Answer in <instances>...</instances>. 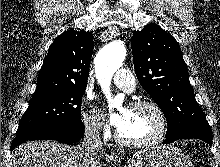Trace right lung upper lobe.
Segmentation results:
<instances>
[{
	"instance_id": "right-lung-upper-lobe-1",
	"label": "right lung upper lobe",
	"mask_w": 220,
	"mask_h": 167,
	"mask_svg": "<svg viewBox=\"0 0 220 167\" xmlns=\"http://www.w3.org/2000/svg\"><path fill=\"white\" fill-rule=\"evenodd\" d=\"M93 53V35L67 30L51 44L40 69L33 98L68 87H86Z\"/></svg>"
}]
</instances>
